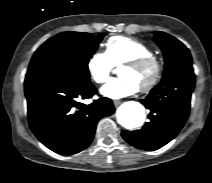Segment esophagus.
Wrapping results in <instances>:
<instances>
[{
    "instance_id": "34e87169",
    "label": "esophagus",
    "mask_w": 212,
    "mask_h": 183,
    "mask_svg": "<svg viewBox=\"0 0 212 183\" xmlns=\"http://www.w3.org/2000/svg\"><path fill=\"white\" fill-rule=\"evenodd\" d=\"M113 103H114L115 107H117V106H119L122 102L119 101V100H114Z\"/></svg>"
}]
</instances>
